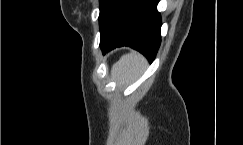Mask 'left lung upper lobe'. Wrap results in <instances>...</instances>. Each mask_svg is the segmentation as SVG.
<instances>
[{
  "label": "left lung upper lobe",
  "mask_w": 243,
  "mask_h": 145,
  "mask_svg": "<svg viewBox=\"0 0 243 145\" xmlns=\"http://www.w3.org/2000/svg\"><path fill=\"white\" fill-rule=\"evenodd\" d=\"M128 2L129 0H100L99 25L101 35L107 33Z\"/></svg>",
  "instance_id": "1"
}]
</instances>
